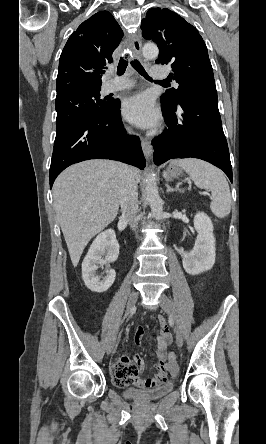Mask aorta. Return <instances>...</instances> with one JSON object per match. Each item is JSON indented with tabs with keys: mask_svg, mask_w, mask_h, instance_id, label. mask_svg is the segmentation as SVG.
<instances>
[{
	"mask_svg": "<svg viewBox=\"0 0 266 444\" xmlns=\"http://www.w3.org/2000/svg\"><path fill=\"white\" fill-rule=\"evenodd\" d=\"M142 54L146 59H155L158 57L159 49L155 44L147 43L142 49ZM146 196L153 215L157 220H161L163 217V201L159 196L156 174L153 171L146 175Z\"/></svg>",
	"mask_w": 266,
	"mask_h": 444,
	"instance_id": "1",
	"label": "aorta"
}]
</instances>
